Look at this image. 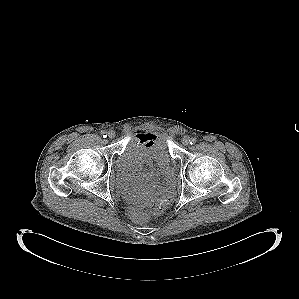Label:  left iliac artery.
Returning <instances> with one entry per match:
<instances>
[{"label":"left iliac artery","mask_w":299,"mask_h":299,"mask_svg":"<svg viewBox=\"0 0 299 299\" xmlns=\"http://www.w3.org/2000/svg\"><path fill=\"white\" fill-rule=\"evenodd\" d=\"M196 141H197L196 138H191V139H190V144H195Z\"/></svg>","instance_id":"left-iliac-artery-1"}]
</instances>
